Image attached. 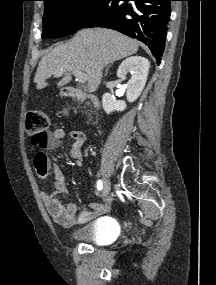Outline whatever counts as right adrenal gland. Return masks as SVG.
<instances>
[{
  "instance_id": "1",
  "label": "right adrenal gland",
  "mask_w": 216,
  "mask_h": 285,
  "mask_svg": "<svg viewBox=\"0 0 216 285\" xmlns=\"http://www.w3.org/2000/svg\"><path fill=\"white\" fill-rule=\"evenodd\" d=\"M112 64H113V62H112V63H110V65H108V66L106 67L105 76L107 75V73H108V69H109V67H110Z\"/></svg>"
}]
</instances>
